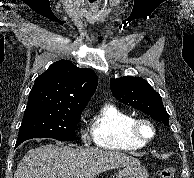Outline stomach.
I'll use <instances>...</instances> for the list:
<instances>
[{"mask_svg": "<svg viewBox=\"0 0 194 178\" xmlns=\"http://www.w3.org/2000/svg\"><path fill=\"white\" fill-rule=\"evenodd\" d=\"M116 178H148V172L140 164L128 165L118 172Z\"/></svg>", "mask_w": 194, "mask_h": 178, "instance_id": "1", "label": "stomach"}]
</instances>
